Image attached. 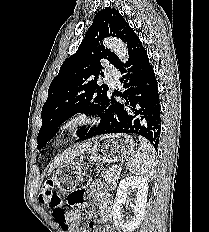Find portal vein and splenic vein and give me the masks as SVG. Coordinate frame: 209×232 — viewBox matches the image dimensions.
Masks as SVG:
<instances>
[{"label": "portal vein and splenic vein", "instance_id": "portal-vein-and-splenic-vein-1", "mask_svg": "<svg viewBox=\"0 0 209 232\" xmlns=\"http://www.w3.org/2000/svg\"><path fill=\"white\" fill-rule=\"evenodd\" d=\"M113 168H117V167L114 166ZM118 169H120V168L118 167Z\"/></svg>", "mask_w": 209, "mask_h": 232}]
</instances>
